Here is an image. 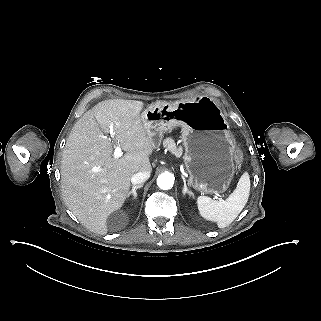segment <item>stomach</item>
<instances>
[{"instance_id": "1", "label": "stomach", "mask_w": 321, "mask_h": 321, "mask_svg": "<svg viewBox=\"0 0 321 321\" xmlns=\"http://www.w3.org/2000/svg\"><path fill=\"white\" fill-rule=\"evenodd\" d=\"M204 99L157 100L142 112L141 119L153 147L159 146L165 132L181 126L189 183L199 191L217 195L227 190L233 178L231 155L236 142L222 111Z\"/></svg>"}]
</instances>
